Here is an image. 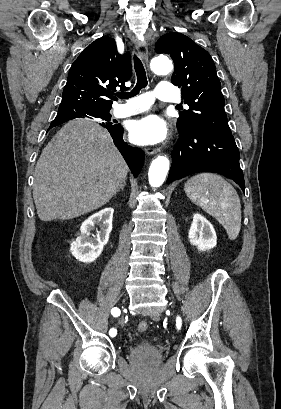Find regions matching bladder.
<instances>
[{
  "mask_svg": "<svg viewBox=\"0 0 281 409\" xmlns=\"http://www.w3.org/2000/svg\"><path fill=\"white\" fill-rule=\"evenodd\" d=\"M133 355H160L159 348L153 340L141 338L131 348Z\"/></svg>",
  "mask_w": 281,
  "mask_h": 409,
  "instance_id": "obj_1",
  "label": "bladder"
}]
</instances>
